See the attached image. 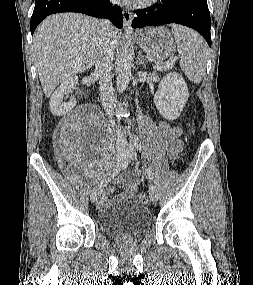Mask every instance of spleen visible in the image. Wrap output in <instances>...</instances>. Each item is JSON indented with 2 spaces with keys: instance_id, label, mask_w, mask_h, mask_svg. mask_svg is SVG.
Segmentation results:
<instances>
[{
  "instance_id": "3e777b00",
  "label": "spleen",
  "mask_w": 253,
  "mask_h": 285,
  "mask_svg": "<svg viewBox=\"0 0 253 285\" xmlns=\"http://www.w3.org/2000/svg\"><path fill=\"white\" fill-rule=\"evenodd\" d=\"M172 34L181 56L182 71L190 81L200 83L205 73L207 44L198 33L184 26L174 25Z\"/></svg>"
}]
</instances>
